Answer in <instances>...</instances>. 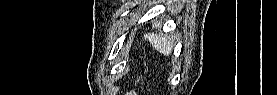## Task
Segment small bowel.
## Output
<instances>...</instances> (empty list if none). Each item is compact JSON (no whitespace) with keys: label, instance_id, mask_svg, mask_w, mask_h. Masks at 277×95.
Segmentation results:
<instances>
[{"label":"small bowel","instance_id":"c3829d8e","mask_svg":"<svg viewBox=\"0 0 277 95\" xmlns=\"http://www.w3.org/2000/svg\"><path fill=\"white\" fill-rule=\"evenodd\" d=\"M126 94H133L131 91H128Z\"/></svg>","mask_w":277,"mask_h":95}]
</instances>
